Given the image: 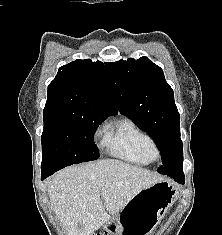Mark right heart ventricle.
<instances>
[{"label": "right heart ventricle", "instance_id": "right-heart-ventricle-1", "mask_svg": "<svg viewBox=\"0 0 222 235\" xmlns=\"http://www.w3.org/2000/svg\"><path fill=\"white\" fill-rule=\"evenodd\" d=\"M153 145L152 137L126 117L111 122L102 139V148L108 155L137 166L150 164L146 150Z\"/></svg>", "mask_w": 222, "mask_h": 235}]
</instances>
